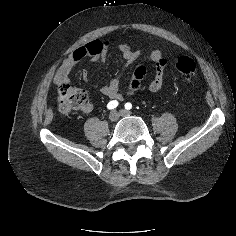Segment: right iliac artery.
<instances>
[{"instance_id": "1", "label": "right iliac artery", "mask_w": 236, "mask_h": 236, "mask_svg": "<svg viewBox=\"0 0 236 236\" xmlns=\"http://www.w3.org/2000/svg\"><path fill=\"white\" fill-rule=\"evenodd\" d=\"M118 106V101H110L108 104H107V108L109 110H112L114 108H116Z\"/></svg>"}]
</instances>
